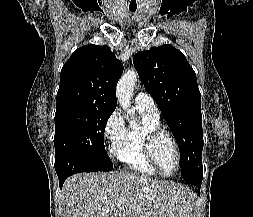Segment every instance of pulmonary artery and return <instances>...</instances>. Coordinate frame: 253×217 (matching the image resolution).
<instances>
[{
  "label": "pulmonary artery",
  "mask_w": 253,
  "mask_h": 217,
  "mask_svg": "<svg viewBox=\"0 0 253 217\" xmlns=\"http://www.w3.org/2000/svg\"><path fill=\"white\" fill-rule=\"evenodd\" d=\"M135 106L138 109L147 111L153 116L159 117V109L154 99L146 92L140 91L135 97Z\"/></svg>",
  "instance_id": "1"
}]
</instances>
